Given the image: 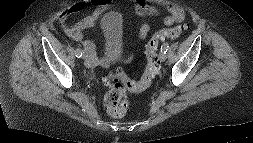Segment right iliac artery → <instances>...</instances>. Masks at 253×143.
I'll list each match as a JSON object with an SVG mask.
<instances>
[{
  "mask_svg": "<svg viewBox=\"0 0 253 143\" xmlns=\"http://www.w3.org/2000/svg\"><path fill=\"white\" fill-rule=\"evenodd\" d=\"M75 54H76V57L81 58L83 53L80 49H76Z\"/></svg>",
  "mask_w": 253,
  "mask_h": 143,
  "instance_id": "82829eb1",
  "label": "right iliac artery"
}]
</instances>
